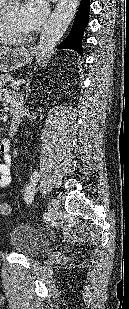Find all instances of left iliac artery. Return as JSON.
<instances>
[{
  "mask_svg": "<svg viewBox=\"0 0 129 309\" xmlns=\"http://www.w3.org/2000/svg\"><path fill=\"white\" fill-rule=\"evenodd\" d=\"M33 177H34L35 180H37V178L39 177L38 172H35L34 175H33ZM28 199H29V200H28ZM26 200H27V202H31L32 197H31V196H28ZM50 216H51V214L49 213V214L45 217V219H47V221H50Z\"/></svg>",
  "mask_w": 129,
  "mask_h": 309,
  "instance_id": "left-iliac-artery-1",
  "label": "left iliac artery"
}]
</instances>
